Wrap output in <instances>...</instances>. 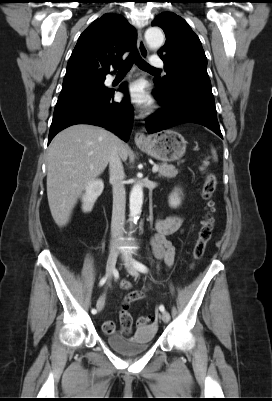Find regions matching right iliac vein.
Returning <instances> with one entry per match:
<instances>
[{"label": "right iliac vein", "mask_w": 272, "mask_h": 401, "mask_svg": "<svg viewBox=\"0 0 272 401\" xmlns=\"http://www.w3.org/2000/svg\"><path fill=\"white\" fill-rule=\"evenodd\" d=\"M117 258H118V251L115 248H112L109 252L106 265V274L109 280L112 277L113 271L115 269ZM97 309L99 311L102 309L101 307H99V304H97Z\"/></svg>", "instance_id": "63e3f726"}]
</instances>
